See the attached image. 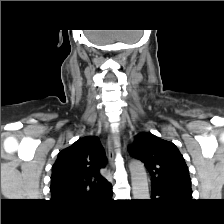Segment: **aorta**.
Returning a JSON list of instances; mask_svg holds the SVG:
<instances>
[{
  "mask_svg": "<svg viewBox=\"0 0 224 224\" xmlns=\"http://www.w3.org/2000/svg\"><path fill=\"white\" fill-rule=\"evenodd\" d=\"M134 199H149V187L144 164L133 160L129 164Z\"/></svg>",
  "mask_w": 224,
  "mask_h": 224,
  "instance_id": "762f6f07",
  "label": "aorta"
}]
</instances>
